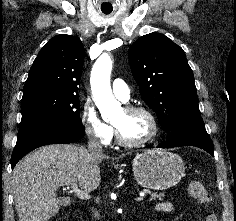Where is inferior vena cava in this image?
<instances>
[{"mask_svg":"<svg viewBox=\"0 0 236 221\" xmlns=\"http://www.w3.org/2000/svg\"><path fill=\"white\" fill-rule=\"evenodd\" d=\"M88 150L93 155H102V145L99 143L94 134L90 135L89 137ZM92 213L95 219L100 220V214L98 213V211L92 209Z\"/></svg>","mask_w":236,"mask_h":221,"instance_id":"inferior-vena-cava-1","label":"inferior vena cava"}]
</instances>
